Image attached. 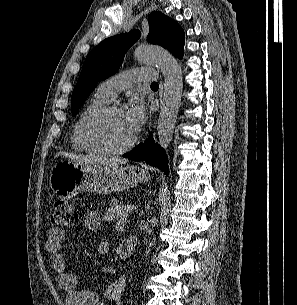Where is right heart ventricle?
Listing matches in <instances>:
<instances>
[{
	"instance_id": "right-heart-ventricle-1",
	"label": "right heart ventricle",
	"mask_w": 297,
	"mask_h": 305,
	"mask_svg": "<svg viewBox=\"0 0 297 305\" xmlns=\"http://www.w3.org/2000/svg\"><path fill=\"white\" fill-rule=\"evenodd\" d=\"M110 103L108 99L103 97L98 91H96L93 96L89 99L86 105L81 110L79 116L77 117L72 131V144L73 148L80 152L86 153H96L97 151L90 147L87 143L84 142L81 136V124L83 120L96 109L106 106Z\"/></svg>"
}]
</instances>
